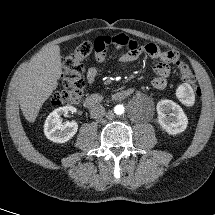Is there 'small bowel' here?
I'll return each mask as SVG.
<instances>
[{"mask_svg":"<svg viewBox=\"0 0 215 215\" xmlns=\"http://www.w3.org/2000/svg\"><path fill=\"white\" fill-rule=\"evenodd\" d=\"M94 59L97 63L105 60L107 50L110 47L126 48V52L119 57L122 63L136 61L143 53L156 60L154 65L155 77L152 79V86L158 90H164L167 87L168 79L171 73L170 64H175L179 60L177 53L173 51H161L153 43L141 45L136 40L126 34L102 35L94 41ZM98 74L96 65H91L86 70V80L89 88H92Z\"/></svg>","mask_w":215,"mask_h":215,"instance_id":"small-bowel-1","label":"small bowel"}]
</instances>
